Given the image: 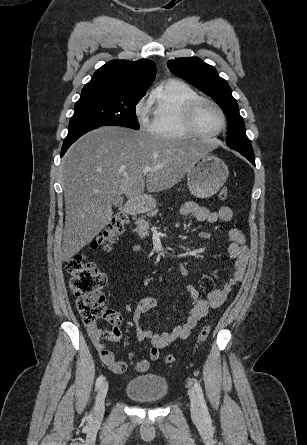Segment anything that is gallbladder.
Segmentation results:
<instances>
[{"instance_id":"bac80fb5","label":"gallbladder","mask_w":307,"mask_h":445,"mask_svg":"<svg viewBox=\"0 0 307 445\" xmlns=\"http://www.w3.org/2000/svg\"><path fill=\"white\" fill-rule=\"evenodd\" d=\"M123 202H124V196H120V195L115 196L114 200L112 201L113 209H115V210L120 209L121 204H123Z\"/></svg>"}]
</instances>
